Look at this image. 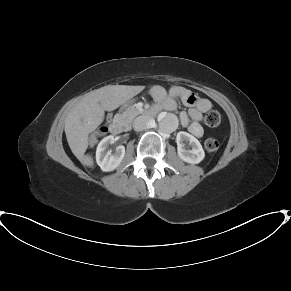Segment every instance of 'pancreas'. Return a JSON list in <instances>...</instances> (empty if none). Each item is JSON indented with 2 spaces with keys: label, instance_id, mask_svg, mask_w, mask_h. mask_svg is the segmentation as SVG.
Returning <instances> with one entry per match:
<instances>
[{
  "label": "pancreas",
  "instance_id": "1",
  "mask_svg": "<svg viewBox=\"0 0 291 291\" xmlns=\"http://www.w3.org/2000/svg\"><path fill=\"white\" fill-rule=\"evenodd\" d=\"M143 111L137 109L134 105L128 106L122 113H120V118L122 121L126 123H130L134 120V118L140 114H142Z\"/></svg>",
  "mask_w": 291,
  "mask_h": 291
}]
</instances>
